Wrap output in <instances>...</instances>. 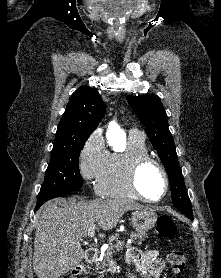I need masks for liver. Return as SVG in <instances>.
Listing matches in <instances>:
<instances>
[{
    "label": "liver",
    "mask_w": 221,
    "mask_h": 278,
    "mask_svg": "<svg viewBox=\"0 0 221 278\" xmlns=\"http://www.w3.org/2000/svg\"><path fill=\"white\" fill-rule=\"evenodd\" d=\"M147 207L128 199L93 201L57 198L47 203L36 225L33 269L38 278H58L84 258L80 240L98 222L104 231L113 229L127 211Z\"/></svg>",
    "instance_id": "liver-1"
}]
</instances>
